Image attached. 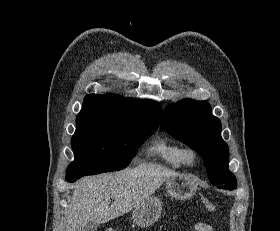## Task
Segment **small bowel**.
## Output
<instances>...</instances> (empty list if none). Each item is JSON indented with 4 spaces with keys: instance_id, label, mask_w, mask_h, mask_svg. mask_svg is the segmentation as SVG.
<instances>
[{
    "instance_id": "1",
    "label": "small bowel",
    "mask_w": 280,
    "mask_h": 231,
    "mask_svg": "<svg viewBox=\"0 0 280 231\" xmlns=\"http://www.w3.org/2000/svg\"><path fill=\"white\" fill-rule=\"evenodd\" d=\"M194 231H214V228L210 224L198 222L194 225Z\"/></svg>"
}]
</instances>
